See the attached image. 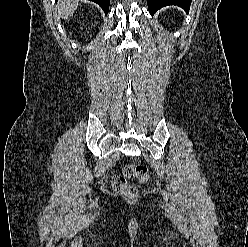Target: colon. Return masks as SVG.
I'll return each instance as SVG.
<instances>
[{
    "instance_id": "obj_1",
    "label": "colon",
    "mask_w": 248,
    "mask_h": 247,
    "mask_svg": "<svg viewBox=\"0 0 248 247\" xmlns=\"http://www.w3.org/2000/svg\"><path fill=\"white\" fill-rule=\"evenodd\" d=\"M148 168L142 164H127L123 167L120 174L114 176L112 184L114 189L128 199L135 200L139 196L136 186L129 183L135 180L144 183L148 180Z\"/></svg>"
}]
</instances>
